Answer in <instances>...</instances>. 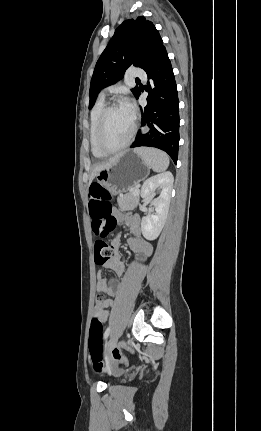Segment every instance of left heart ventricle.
Here are the masks:
<instances>
[{
    "label": "left heart ventricle",
    "mask_w": 261,
    "mask_h": 431,
    "mask_svg": "<svg viewBox=\"0 0 261 431\" xmlns=\"http://www.w3.org/2000/svg\"><path fill=\"white\" fill-rule=\"evenodd\" d=\"M133 125V114L123 104L113 108L107 115L103 133L104 144L109 148L120 146L128 138Z\"/></svg>",
    "instance_id": "b2bd125f"
}]
</instances>
